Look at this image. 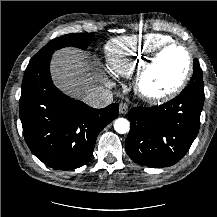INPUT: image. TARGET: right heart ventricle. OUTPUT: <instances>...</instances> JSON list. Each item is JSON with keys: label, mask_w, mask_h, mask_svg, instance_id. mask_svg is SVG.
Returning a JSON list of instances; mask_svg holds the SVG:
<instances>
[{"label": "right heart ventricle", "mask_w": 217, "mask_h": 217, "mask_svg": "<svg viewBox=\"0 0 217 217\" xmlns=\"http://www.w3.org/2000/svg\"><path fill=\"white\" fill-rule=\"evenodd\" d=\"M170 41L169 36L159 33L117 37L106 45V62L117 74L130 76L155 49Z\"/></svg>", "instance_id": "1"}]
</instances>
